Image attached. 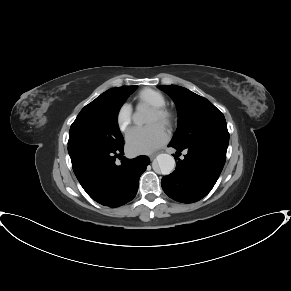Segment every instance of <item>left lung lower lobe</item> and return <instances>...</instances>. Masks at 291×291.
<instances>
[{
	"instance_id": "obj_1",
	"label": "left lung lower lobe",
	"mask_w": 291,
	"mask_h": 291,
	"mask_svg": "<svg viewBox=\"0 0 291 291\" xmlns=\"http://www.w3.org/2000/svg\"><path fill=\"white\" fill-rule=\"evenodd\" d=\"M228 143L229 140H206L184 147L169 144L177 153L183 149L188 153L183 160L178 159L173 173L162 178L164 192L182 203H193L205 197L223 169Z\"/></svg>"
}]
</instances>
